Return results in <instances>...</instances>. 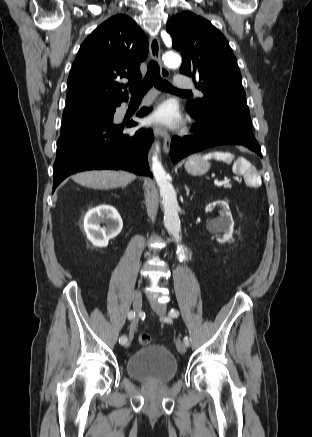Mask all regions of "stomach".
<instances>
[{
    "label": "stomach",
    "instance_id": "stomach-1",
    "mask_svg": "<svg viewBox=\"0 0 312 437\" xmlns=\"http://www.w3.org/2000/svg\"><path fill=\"white\" fill-rule=\"evenodd\" d=\"M185 169L191 175H203L210 169V163L201 155H193L187 159Z\"/></svg>",
    "mask_w": 312,
    "mask_h": 437
}]
</instances>
